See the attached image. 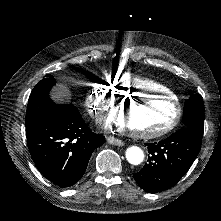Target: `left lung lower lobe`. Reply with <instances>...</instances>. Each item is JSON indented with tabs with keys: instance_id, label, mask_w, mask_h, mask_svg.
Here are the masks:
<instances>
[{
	"instance_id": "0a47b994",
	"label": "left lung lower lobe",
	"mask_w": 221,
	"mask_h": 221,
	"mask_svg": "<svg viewBox=\"0 0 221 221\" xmlns=\"http://www.w3.org/2000/svg\"><path fill=\"white\" fill-rule=\"evenodd\" d=\"M203 133L183 127L159 143H148L149 162L133 175L146 192H159L174 186L196 159Z\"/></svg>"
}]
</instances>
